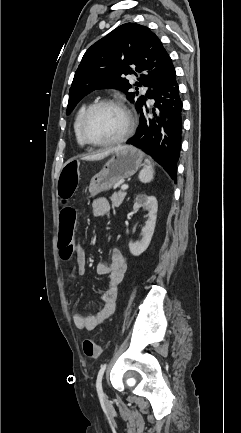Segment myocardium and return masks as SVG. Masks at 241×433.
I'll list each match as a JSON object with an SVG mask.
<instances>
[{
  "label": "myocardium",
  "mask_w": 241,
  "mask_h": 433,
  "mask_svg": "<svg viewBox=\"0 0 241 433\" xmlns=\"http://www.w3.org/2000/svg\"><path fill=\"white\" fill-rule=\"evenodd\" d=\"M102 106H114V107L119 108L123 112L125 119H126V127H125V130L123 131V133L119 137H117L111 141H107V142L93 141L88 137V135L86 133V123L88 121V118L96 109H98ZM133 127H134V121H133L132 114H131L130 110L128 109V107L122 101H120L118 99L107 98V99H101V100H98V101L92 103L85 110V112L81 118V121H80V134H81L83 141L87 145L94 146V147H111V146H115V145L121 144L124 141H126L128 139V137L131 135V133L133 131Z\"/></svg>",
  "instance_id": "myocardium-1"
}]
</instances>
